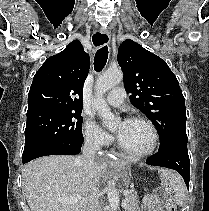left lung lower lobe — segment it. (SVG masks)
Listing matches in <instances>:
<instances>
[{
	"label": "left lung lower lobe",
	"mask_w": 209,
	"mask_h": 211,
	"mask_svg": "<svg viewBox=\"0 0 209 211\" xmlns=\"http://www.w3.org/2000/svg\"><path fill=\"white\" fill-rule=\"evenodd\" d=\"M146 164L176 170L181 174L189 189L190 160L187 151V138L177 139L165 149L159 150L147 159Z\"/></svg>",
	"instance_id": "obj_1"
}]
</instances>
